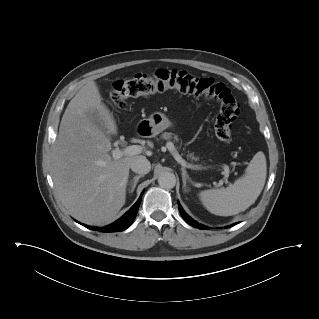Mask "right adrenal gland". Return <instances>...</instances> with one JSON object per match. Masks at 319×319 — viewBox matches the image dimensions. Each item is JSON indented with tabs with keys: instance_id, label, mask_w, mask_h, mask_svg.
<instances>
[{
	"instance_id": "right-adrenal-gland-1",
	"label": "right adrenal gland",
	"mask_w": 319,
	"mask_h": 319,
	"mask_svg": "<svg viewBox=\"0 0 319 319\" xmlns=\"http://www.w3.org/2000/svg\"><path fill=\"white\" fill-rule=\"evenodd\" d=\"M144 175H138V176H135L131 181H130V183H129V185H131V190H130V192L131 193H133L134 192V190H135V187H136V185H137V183H138V180L141 178V177H143Z\"/></svg>"
}]
</instances>
